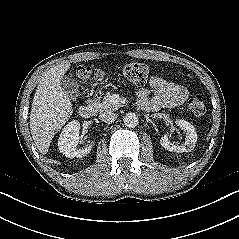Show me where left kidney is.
<instances>
[{
  "mask_svg": "<svg viewBox=\"0 0 239 239\" xmlns=\"http://www.w3.org/2000/svg\"><path fill=\"white\" fill-rule=\"evenodd\" d=\"M176 125L186 133L185 143L181 145L171 143L167 134H165L163 137H161L160 144L168 151L177 153L191 152L195 148V144L197 142V133L194 126L181 119L176 121Z\"/></svg>",
  "mask_w": 239,
  "mask_h": 239,
  "instance_id": "obj_1",
  "label": "left kidney"
}]
</instances>
